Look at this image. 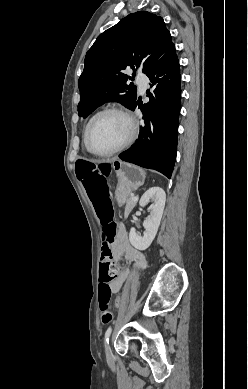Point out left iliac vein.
Listing matches in <instances>:
<instances>
[{
  "label": "left iliac vein",
  "mask_w": 248,
  "mask_h": 389,
  "mask_svg": "<svg viewBox=\"0 0 248 389\" xmlns=\"http://www.w3.org/2000/svg\"><path fill=\"white\" fill-rule=\"evenodd\" d=\"M106 356H107V360H108L109 362L112 361V353H111L110 345H107V348H106Z\"/></svg>",
  "instance_id": "obj_1"
}]
</instances>
